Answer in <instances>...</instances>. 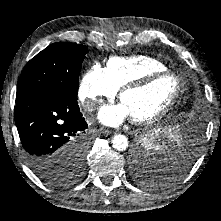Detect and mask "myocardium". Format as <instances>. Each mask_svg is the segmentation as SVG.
<instances>
[{
	"mask_svg": "<svg viewBox=\"0 0 221 221\" xmlns=\"http://www.w3.org/2000/svg\"><path fill=\"white\" fill-rule=\"evenodd\" d=\"M164 76H172L176 81V90H175L174 95L172 96L171 100L165 105V107L163 109H161L159 112H157L156 114H154L150 117L131 118V121L134 124H136V125H150V124L157 123L162 118H164L173 109V107L177 103V101L180 97V94L182 92V89H183V82H182L181 78L175 72L170 71V70H164V71L153 72V73L143 76L140 79L128 82V83L124 84L119 89L118 98L121 101L122 96L126 92L144 88L147 85H149L151 82H153L154 80L164 77Z\"/></svg>",
	"mask_w": 221,
	"mask_h": 221,
	"instance_id": "myocardium-1",
	"label": "myocardium"
}]
</instances>
